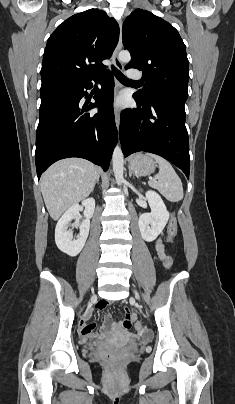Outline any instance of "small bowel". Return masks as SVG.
I'll return each instance as SVG.
<instances>
[{"label":"small bowel","instance_id":"c3829d8e","mask_svg":"<svg viewBox=\"0 0 235 404\" xmlns=\"http://www.w3.org/2000/svg\"><path fill=\"white\" fill-rule=\"evenodd\" d=\"M155 247L159 258L161 260H165L166 255L164 252V244L161 238L156 241ZM106 306L107 301H100L84 314L79 325L81 333L85 339H99L105 336H114L119 332V327L112 322V318L109 313L105 315L104 324L100 327V331L98 333L95 332L96 325L87 322L94 311H102L106 308Z\"/></svg>","mask_w":235,"mask_h":404}]
</instances>
